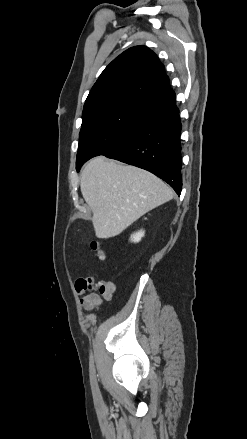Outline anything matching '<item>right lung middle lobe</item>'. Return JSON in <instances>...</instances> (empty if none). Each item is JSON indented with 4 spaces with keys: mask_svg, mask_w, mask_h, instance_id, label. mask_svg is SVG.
I'll use <instances>...</instances> for the list:
<instances>
[{
    "mask_svg": "<svg viewBox=\"0 0 247 439\" xmlns=\"http://www.w3.org/2000/svg\"><path fill=\"white\" fill-rule=\"evenodd\" d=\"M153 112L127 101H111L83 111L76 169L103 155L139 128Z\"/></svg>",
    "mask_w": 247,
    "mask_h": 439,
    "instance_id": "obj_1",
    "label": "right lung middle lobe"
}]
</instances>
